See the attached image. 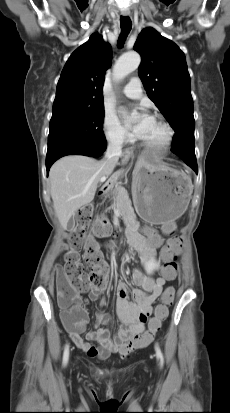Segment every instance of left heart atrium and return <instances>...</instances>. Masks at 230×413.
I'll return each mask as SVG.
<instances>
[{"label":"left heart atrium","mask_w":230,"mask_h":413,"mask_svg":"<svg viewBox=\"0 0 230 413\" xmlns=\"http://www.w3.org/2000/svg\"><path fill=\"white\" fill-rule=\"evenodd\" d=\"M139 117L135 122H132L131 120H128L127 123L131 127V130L133 133L141 138L145 132L148 130L149 126L152 123V118L151 116L145 111L144 108L140 107L139 108Z\"/></svg>","instance_id":"39dd6f15"}]
</instances>
